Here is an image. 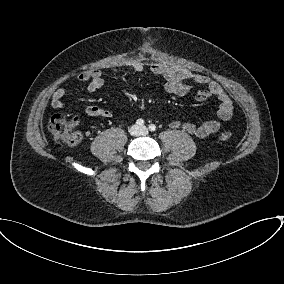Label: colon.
<instances>
[{
	"label": "colon",
	"instance_id": "obj_1",
	"mask_svg": "<svg viewBox=\"0 0 284 284\" xmlns=\"http://www.w3.org/2000/svg\"><path fill=\"white\" fill-rule=\"evenodd\" d=\"M77 119H70L62 113H55L49 121V131L58 141L76 145L82 140V134L75 129ZM232 136L231 132H223L220 139L226 141Z\"/></svg>",
	"mask_w": 284,
	"mask_h": 284
}]
</instances>
